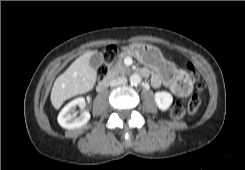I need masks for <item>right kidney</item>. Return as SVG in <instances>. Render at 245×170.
Wrapping results in <instances>:
<instances>
[{"instance_id": "1", "label": "right kidney", "mask_w": 245, "mask_h": 170, "mask_svg": "<svg viewBox=\"0 0 245 170\" xmlns=\"http://www.w3.org/2000/svg\"><path fill=\"white\" fill-rule=\"evenodd\" d=\"M76 106L84 107L85 99L83 97H78L71 102H69L59 113L58 123L62 128L65 129H75L85 125L90 119V113L88 111H83L79 116H76L75 109Z\"/></svg>"}]
</instances>
